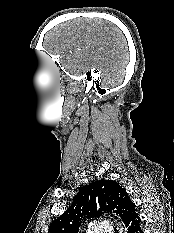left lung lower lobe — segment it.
I'll return each instance as SVG.
<instances>
[{"label": "left lung lower lobe", "instance_id": "0a47b994", "mask_svg": "<svg viewBox=\"0 0 174 233\" xmlns=\"http://www.w3.org/2000/svg\"><path fill=\"white\" fill-rule=\"evenodd\" d=\"M127 233H143V230L140 226V218L138 214L135 212L132 213L125 221H124Z\"/></svg>", "mask_w": 174, "mask_h": 233}]
</instances>
